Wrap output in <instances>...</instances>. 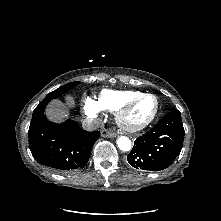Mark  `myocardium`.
I'll list each match as a JSON object with an SVG mask.
<instances>
[{"label": "myocardium", "mask_w": 221, "mask_h": 221, "mask_svg": "<svg viewBox=\"0 0 221 221\" xmlns=\"http://www.w3.org/2000/svg\"><path fill=\"white\" fill-rule=\"evenodd\" d=\"M146 97H152L155 100V109L152 115L143 123L138 125H132L129 124L126 120V116L130 108L137 103L139 100L146 98ZM160 110V104L159 100L156 97V95L152 93H141L129 100H127L116 112H115V119L118 124V126L125 132L128 133H137L140 132L147 127H149L157 118L158 113Z\"/></svg>", "instance_id": "obj_1"}]
</instances>
